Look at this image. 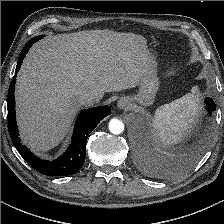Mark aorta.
Masks as SVG:
<instances>
[{
	"label": "aorta",
	"instance_id": "aorta-1",
	"mask_svg": "<svg viewBox=\"0 0 224 224\" xmlns=\"http://www.w3.org/2000/svg\"><path fill=\"white\" fill-rule=\"evenodd\" d=\"M109 130L113 134H120L124 130V124L118 119H111L109 122Z\"/></svg>",
	"mask_w": 224,
	"mask_h": 224
}]
</instances>
